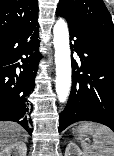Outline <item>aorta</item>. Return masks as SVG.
Here are the masks:
<instances>
[{"label": "aorta", "mask_w": 114, "mask_h": 156, "mask_svg": "<svg viewBox=\"0 0 114 156\" xmlns=\"http://www.w3.org/2000/svg\"><path fill=\"white\" fill-rule=\"evenodd\" d=\"M53 44L56 63V93L58 100H67L71 88V57L68 26L64 19H58L53 29Z\"/></svg>", "instance_id": "1"}]
</instances>
